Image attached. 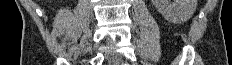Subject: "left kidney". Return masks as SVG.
I'll list each match as a JSON object with an SVG mask.
<instances>
[{
	"label": "left kidney",
	"mask_w": 232,
	"mask_h": 65,
	"mask_svg": "<svg viewBox=\"0 0 232 65\" xmlns=\"http://www.w3.org/2000/svg\"><path fill=\"white\" fill-rule=\"evenodd\" d=\"M158 12L169 22L182 23L192 17L197 0H152Z\"/></svg>",
	"instance_id": "5707ae66"
}]
</instances>
